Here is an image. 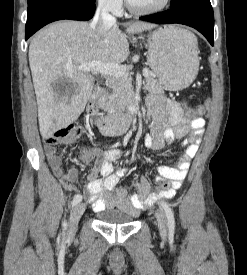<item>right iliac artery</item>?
I'll return each instance as SVG.
<instances>
[{
    "label": "right iliac artery",
    "instance_id": "right-iliac-artery-1",
    "mask_svg": "<svg viewBox=\"0 0 247 275\" xmlns=\"http://www.w3.org/2000/svg\"><path fill=\"white\" fill-rule=\"evenodd\" d=\"M81 201H82V196L80 194L75 195L72 201V206L80 203ZM66 224H67L66 221H64L63 225L66 226Z\"/></svg>",
    "mask_w": 247,
    "mask_h": 275
}]
</instances>
